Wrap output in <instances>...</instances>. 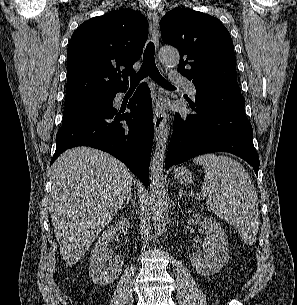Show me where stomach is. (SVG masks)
<instances>
[{"label":"stomach","instance_id":"0dacf381","mask_svg":"<svg viewBox=\"0 0 297 305\" xmlns=\"http://www.w3.org/2000/svg\"><path fill=\"white\" fill-rule=\"evenodd\" d=\"M174 177L178 182L183 184H188L192 181L191 171L184 166L175 168Z\"/></svg>","mask_w":297,"mask_h":305}]
</instances>
